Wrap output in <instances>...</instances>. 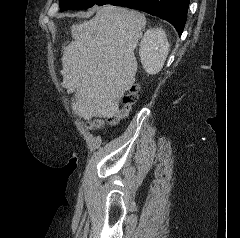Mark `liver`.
I'll return each mask as SVG.
<instances>
[{"mask_svg": "<svg viewBox=\"0 0 240 238\" xmlns=\"http://www.w3.org/2000/svg\"><path fill=\"white\" fill-rule=\"evenodd\" d=\"M146 18L137 11L105 5L89 21L71 27L74 41L63 49V88L74 93L72 109L80 117H113L135 81L134 50Z\"/></svg>", "mask_w": 240, "mask_h": 238, "instance_id": "liver-1", "label": "liver"}]
</instances>
